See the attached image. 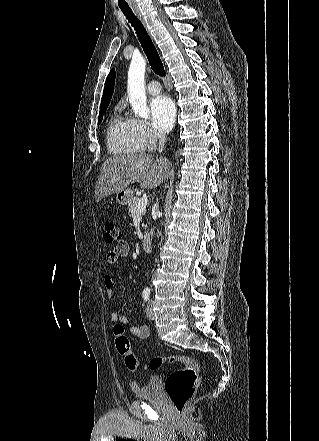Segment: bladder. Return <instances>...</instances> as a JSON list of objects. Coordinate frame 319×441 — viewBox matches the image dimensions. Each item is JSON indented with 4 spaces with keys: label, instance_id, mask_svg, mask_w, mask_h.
Wrapping results in <instances>:
<instances>
[{
    "label": "bladder",
    "instance_id": "1",
    "mask_svg": "<svg viewBox=\"0 0 319 441\" xmlns=\"http://www.w3.org/2000/svg\"><path fill=\"white\" fill-rule=\"evenodd\" d=\"M131 390L137 398H154L158 395V378L153 376L144 384L133 382L131 383Z\"/></svg>",
    "mask_w": 319,
    "mask_h": 441
}]
</instances>
